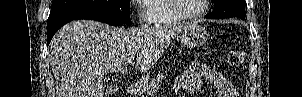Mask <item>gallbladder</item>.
I'll return each mask as SVG.
<instances>
[{
    "instance_id": "obj_1",
    "label": "gallbladder",
    "mask_w": 302,
    "mask_h": 97,
    "mask_svg": "<svg viewBox=\"0 0 302 97\" xmlns=\"http://www.w3.org/2000/svg\"><path fill=\"white\" fill-rule=\"evenodd\" d=\"M117 91V88L114 87V86H109L106 90V94L110 95V94H113Z\"/></svg>"
}]
</instances>
